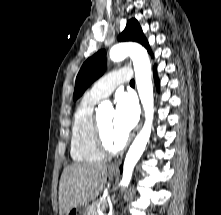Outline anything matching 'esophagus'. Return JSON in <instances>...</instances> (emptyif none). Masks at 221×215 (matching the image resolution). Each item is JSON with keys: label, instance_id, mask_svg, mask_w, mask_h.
Instances as JSON below:
<instances>
[{"label": "esophagus", "instance_id": "esophagus-1", "mask_svg": "<svg viewBox=\"0 0 221 215\" xmlns=\"http://www.w3.org/2000/svg\"><path fill=\"white\" fill-rule=\"evenodd\" d=\"M142 122H143V114H142V118H141V121H140V124H139V128L141 127L142 125ZM121 160H118L116 162H113L110 166L111 169H117L119 164H120Z\"/></svg>", "mask_w": 221, "mask_h": 215}]
</instances>
